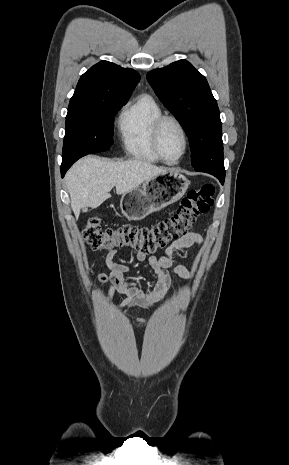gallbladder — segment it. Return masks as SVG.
Masks as SVG:
<instances>
[{
  "label": "gallbladder",
  "instance_id": "gallbladder-1",
  "mask_svg": "<svg viewBox=\"0 0 289 465\" xmlns=\"http://www.w3.org/2000/svg\"><path fill=\"white\" fill-rule=\"evenodd\" d=\"M82 211L87 212V208L86 207L82 208Z\"/></svg>",
  "mask_w": 289,
  "mask_h": 465
}]
</instances>
